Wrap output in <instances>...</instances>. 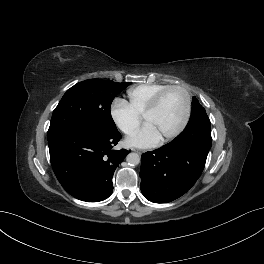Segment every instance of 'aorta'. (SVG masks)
<instances>
[{"label":"aorta","mask_w":264,"mask_h":264,"mask_svg":"<svg viewBox=\"0 0 264 264\" xmlns=\"http://www.w3.org/2000/svg\"><path fill=\"white\" fill-rule=\"evenodd\" d=\"M128 164L138 165L140 163V156L137 153H130L126 158Z\"/></svg>","instance_id":"aorta-1"}]
</instances>
